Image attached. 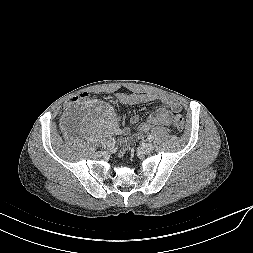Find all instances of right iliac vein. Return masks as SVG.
<instances>
[{"label":"right iliac vein","instance_id":"right-iliac-vein-1","mask_svg":"<svg viewBox=\"0 0 253 253\" xmlns=\"http://www.w3.org/2000/svg\"><path fill=\"white\" fill-rule=\"evenodd\" d=\"M114 146L113 142L111 140H108L106 142L103 143V147L105 149H112Z\"/></svg>","mask_w":253,"mask_h":253}]
</instances>
